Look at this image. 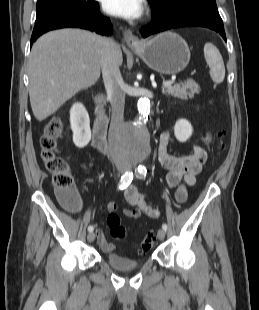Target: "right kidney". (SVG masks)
<instances>
[{
  "mask_svg": "<svg viewBox=\"0 0 259 310\" xmlns=\"http://www.w3.org/2000/svg\"><path fill=\"white\" fill-rule=\"evenodd\" d=\"M70 124L74 144L79 148L85 147L91 140V129L89 115L83 104H73L70 110Z\"/></svg>",
  "mask_w": 259,
  "mask_h": 310,
  "instance_id": "1",
  "label": "right kidney"
}]
</instances>
